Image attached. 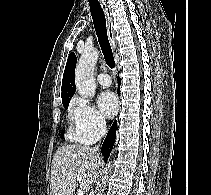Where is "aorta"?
Masks as SVG:
<instances>
[{
	"label": "aorta",
	"mask_w": 211,
	"mask_h": 195,
	"mask_svg": "<svg viewBox=\"0 0 211 195\" xmlns=\"http://www.w3.org/2000/svg\"><path fill=\"white\" fill-rule=\"evenodd\" d=\"M98 60V52L96 50L85 51L76 66L75 85L79 95L83 98H91L95 95L96 84L94 79V67ZM112 169L111 162L106 164L105 176L106 180L108 172Z\"/></svg>",
	"instance_id": "aorta-1"
}]
</instances>
